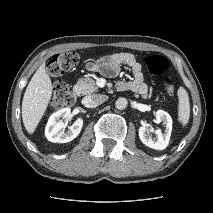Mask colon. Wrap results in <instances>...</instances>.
Instances as JSON below:
<instances>
[{"mask_svg": "<svg viewBox=\"0 0 213 213\" xmlns=\"http://www.w3.org/2000/svg\"><path fill=\"white\" fill-rule=\"evenodd\" d=\"M146 66L150 73L160 75L169 67V61L161 55H150L146 58ZM79 63V56L75 52H63L52 56L49 60L47 69L53 76L62 75L71 71ZM164 91L168 96L175 92V84L171 78H166L163 84ZM76 100L74 92L64 83L59 82L54 86L51 98V106L59 109L72 105Z\"/></svg>", "mask_w": 213, "mask_h": 213, "instance_id": "obj_1", "label": "colon"}]
</instances>
